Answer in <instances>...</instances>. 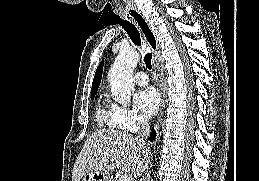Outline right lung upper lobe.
Returning a JSON list of instances; mask_svg holds the SVG:
<instances>
[{
    "label": "right lung upper lobe",
    "mask_w": 259,
    "mask_h": 181,
    "mask_svg": "<svg viewBox=\"0 0 259 181\" xmlns=\"http://www.w3.org/2000/svg\"><path fill=\"white\" fill-rule=\"evenodd\" d=\"M102 70H103V60L101 61V63L99 64L94 79H93V83H92V89H91V97L95 96L98 87L100 85L101 82V78H102Z\"/></svg>",
    "instance_id": "right-lung-upper-lobe-1"
}]
</instances>
